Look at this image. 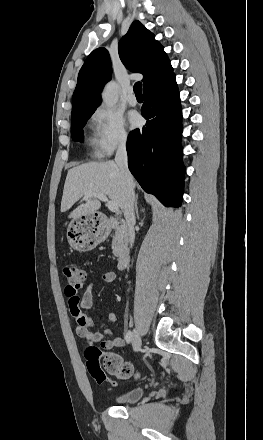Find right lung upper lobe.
I'll list each match as a JSON object with an SVG mask.
<instances>
[{
	"instance_id": "cb5924a9",
	"label": "right lung upper lobe",
	"mask_w": 263,
	"mask_h": 440,
	"mask_svg": "<svg viewBox=\"0 0 263 440\" xmlns=\"http://www.w3.org/2000/svg\"><path fill=\"white\" fill-rule=\"evenodd\" d=\"M118 52L128 69L143 74L144 89L173 71L162 45L139 21L133 22L127 34L122 37ZM111 74L107 49L100 47L91 52L78 75L73 94L72 117L96 110L101 102L100 92L111 79Z\"/></svg>"
}]
</instances>
